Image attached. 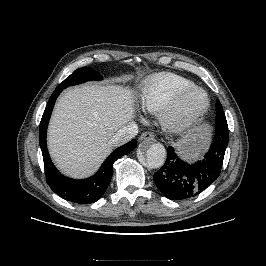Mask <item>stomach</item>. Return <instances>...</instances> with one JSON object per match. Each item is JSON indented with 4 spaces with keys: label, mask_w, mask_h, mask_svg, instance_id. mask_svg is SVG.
<instances>
[{
    "label": "stomach",
    "mask_w": 266,
    "mask_h": 266,
    "mask_svg": "<svg viewBox=\"0 0 266 266\" xmlns=\"http://www.w3.org/2000/svg\"><path fill=\"white\" fill-rule=\"evenodd\" d=\"M209 135V128L207 126H202L182 136L176 143L179 155L188 161L201 158L207 147Z\"/></svg>",
    "instance_id": "obj_1"
}]
</instances>
